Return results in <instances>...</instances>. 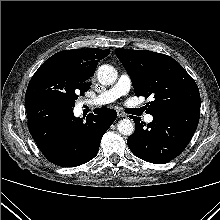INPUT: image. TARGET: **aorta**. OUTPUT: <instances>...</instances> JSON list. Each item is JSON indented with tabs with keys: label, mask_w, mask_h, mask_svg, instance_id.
I'll use <instances>...</instances> for the list:
<instances>
[{
	"label": "aorta",
	"mask_w": 220,
	"mask_h": 220,
	"mask_svg": "<svg viewBox=\"0 0 220 220\" xmlns=\"http://www.w3.org/2000/svg\"><path fill=\"white\" fill-rule=\"evenodd\" d=\"M118 77L117 70L108 64L101 65L97 71V79L103 85H111ZM118 131L122 135L130 136L134 132V123L130 119H122L118 122Z\"/></svg>",
	"instance_id": "aorta-1"
}]
</instances>
